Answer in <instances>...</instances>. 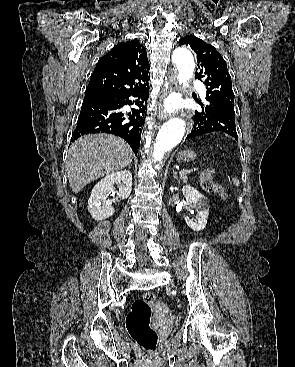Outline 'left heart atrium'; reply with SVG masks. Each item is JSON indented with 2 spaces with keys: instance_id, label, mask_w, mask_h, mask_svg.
Wrapping results in <instances>:
<instances>
[{
  "instance_id": "left-heart-atrium-1",
  "label": "left heart atrium",
  "mask_w": 295,
  "mask_h": 367,
  "mask_svg": "<svg viewBox=\"0 0 295 367\" xmlns=\"http://www.w3.org/2000/svg\"><path fill=\"white\" fill-rule=\"evenodd\" d=\"M175 107V103L174 102H169L168 104H167V108L168 109H173Z\"/></svg>"
}]
</instances>
